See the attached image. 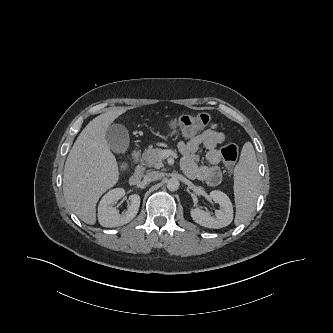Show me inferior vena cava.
Segmentation results:
<instances>
[{
	"instance_id": "1",
	"label": "inferior vena cava",
	"mask_w": 333,
	"mask_h": 333,
	"mask_svg": "<svg viewBox=\"0 0 333 333\" xmlns=\"http://www.w3.org/2000/svg\"><path fill=\"white\" fill-rule=\"evenodd\" d=\"M162 177V174L158 171H151L148 172L145 176H144V181L145 182H152V181H156L158 179H160Z\"/></svg>"
}]
</instances>
